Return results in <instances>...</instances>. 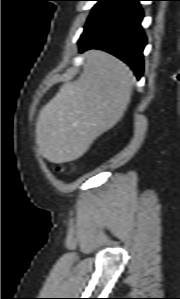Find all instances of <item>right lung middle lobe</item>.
<instances>
[{
  "label": "right lung middle lobe",
  "instance_id": "dd1d6c3e",
  "mask_svg": "<svg viewBox=\"0 0 180 299\" xmlns=\"http://www.w3.org/2000/svg\"><path fill=\"white\" fill-rule=\"evenodd\" d=\"M98 3L94 6L92 13H94L97 9H99L103 4H105L108 0H96ZM91 13V14H92Z\"/></svg>",
  "mask_w": 180,
  "mask_h": 299
}]
</instances>
